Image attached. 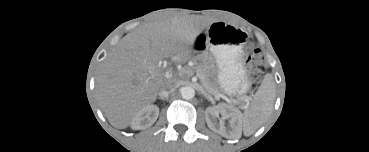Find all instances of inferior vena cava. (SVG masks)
Wrapping results in <instances>:
<instances>
[{
	"mask_svg": "<svg viewBox=\"0 0 369 152\" xmlns=\"http://www.w3.org/2000/svg\"><path fill=\"white\" fill-rule=\"evenodd\" d=\"M178 87V83L171 80V79H166L165 82L163 83L159 95L161 98H164L166 96H168L170 93H172L176 88Z\"/></svg>",
	"mask_w": 369,
	"mask_h": 152,
	"instance_id": "1",
	"label": "inferior vena cava"
}]
</instances>
